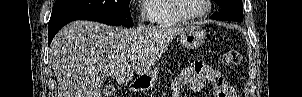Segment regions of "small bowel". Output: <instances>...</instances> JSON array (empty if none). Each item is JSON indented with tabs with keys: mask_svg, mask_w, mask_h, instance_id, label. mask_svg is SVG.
Listing matches in <instances>:
<instances>
[{
	"mask_svg": "<svg viewBox=\"0 0 302 97\" xmlns=\"http://www.w3.org/2000/svg\"><path fill=\"white\" fill-rule=\"evenodd\" d=\"M206 81L212 83L214 97L235 96L234 89L226 78L219 71L212 69L201 62H195L173 79L171 96L180 97L181 92L186 87L195 92H199L203 89Z\"/></svg>",
	"mask_w": 302,
	"mask_h": 97,
	"instance_id": "c3829d8e",
	"label": "small bowel"
}]
</instances>
